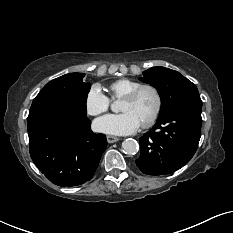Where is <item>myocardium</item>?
<instances>
[{"label": "myocardium", "mask_w": 233, "mask_h": 233, "mask_svg": "<svg viewBox=\"0 0 233 233\" xmlns=\"http://www.w3.org/2000/svg\"><path fill=\"white\" fill-rule=\"evenodd\" d=\"M145 89L152 90L155 94V97H156V107H155L152 115L148 118V120H146L142 124V126L146 128V127H150L151 125H153L160 115L163 101H162V96H161L159 89L152 84H141L140 86H138L137 88H135L134 90H132L131 92L126 94L122 98V100L133 101Z\"/></svg>", "instance_id": "obj_1"}]
</instances>
